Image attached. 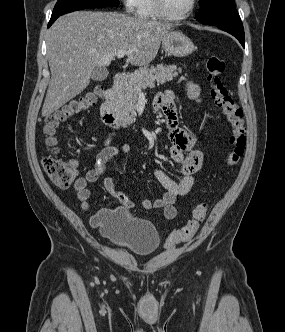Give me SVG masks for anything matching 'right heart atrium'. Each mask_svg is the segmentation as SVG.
Here are the masks:
<instances>
[{
    "instance_id": "right-heart-atrium-1",
    "label": "right heart atrium",
    "mask_w": 285,
    "mask_h": 332,
    "mask_svg": "<svg viewBox=\"0 0 285 332\" xmlns=\"http://www.w3.org/2000/svg\"><path fill=\"white\" fill-rule=\"evenodd\" d=\"M137 0H122L124 8L127 12H133L136 7Z\"/></svg>"
}]
</instances>
